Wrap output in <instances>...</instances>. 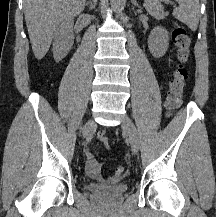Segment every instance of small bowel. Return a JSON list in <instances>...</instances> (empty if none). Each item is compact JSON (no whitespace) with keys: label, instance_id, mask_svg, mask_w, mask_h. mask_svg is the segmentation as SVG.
<instances>
[{"label":"small bowel","instance_id":"small-bowel-1","mask_svg":"<svg viewBox=\"0 0 216 217\" xmlns=\"http://www.w3.org/2000/svg\"><path fill=\"white\" fill-rule=\"evenodd\" d=\"M85 172H86V175L94 181L105 182L107 184H114L117 181L115 176H111L105 181L102 179L101 166L95 160L94 155L89 151L86 153Z\"/></svg>","mask_w":216,"mask_h":217}]
</instances>
